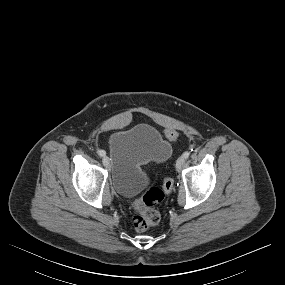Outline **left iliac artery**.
<instances>
[{
    "instance_id": "left-iliac-artery-1",
    "label": "left iliac artery",
    "mask_w": 285,
    "mask_h": 285,
    "mask_svg": "<svg viewBox=\"0 0 285 285\" xmlns=\"http://www.w3.org/2000/svg\"><path fill=\"white\" fill-rule=\"evenodd\" d=\"M189 156H190V152L185 151V152L183 153V157H184L185 159H187Z\"/></svg>"
}]
</instances>
